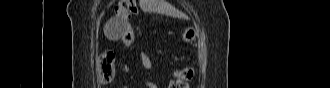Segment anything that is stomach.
I'll return each instance as SVG.
<instances>
[{
    "mask_svg": "<svg viewBox=\"0 0 330 88\" xmlns=\"http://www.w3.org/2000/svg\"><path fill=\"white\" fill-rule=\"evenodd\" d=\"M197 29L194 26H188L184 29L182 38L187 43H192L196 40Z\"/></svg>",
    "mask_w": 330,
    "mask_h": 88,
    "instance_id": "obj_1",
    "label": "stomach"
}]
</instances>
